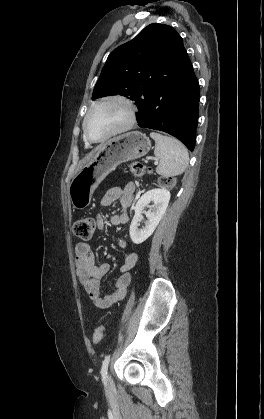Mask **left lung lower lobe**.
Returning <instances> with one entry per match:
<instances>
[{"mask_svg":"<svg viewBox=\"0 0 264 419\" xmlns=\"http://www.w3.org/2000/svg\"><path fill=\"white\" fill-rule=\"evenodd\" d=\"M199 85L183 46L168 77L155 81L138 109V125L164 131L193 151L199 109Z\"/></svg>","mask_w":264,"mask_h":419,"instance_id":"1","label":"left lung lower lobe"}]
</instances>
